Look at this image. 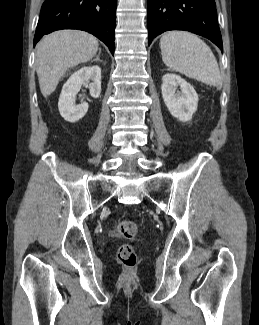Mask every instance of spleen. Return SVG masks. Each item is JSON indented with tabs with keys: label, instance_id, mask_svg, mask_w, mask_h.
<instances>
[{
	"label": "spleen",
	"instance_id": "1",
	"mask_svg": "<svg viewBox=\"0 0 259 325\" xmlns=\"http://www.w3.org/2000/svg\"><path fill=\"white\" fill-rule=\"evenodd\" d=\"M162 60L171 70L210 86L221 85L220 70L210 47L186 31H169L160 39Z\"/></svg>",
	"mask_w": 259,
	"mask_h": 325
}]
</instances>
